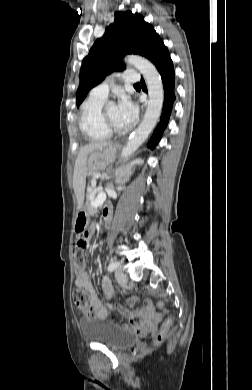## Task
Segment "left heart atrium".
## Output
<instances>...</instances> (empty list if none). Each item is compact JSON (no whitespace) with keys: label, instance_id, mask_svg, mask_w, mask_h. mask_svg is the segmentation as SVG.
I'll use <instances>...</instances> for the list:
<instances>
[{"label":"left heart atrium","instance_id":"left-heart-atrium-1","mask_svg":"<svg viewBox=\"0 0 252 390\" xmlns=\"http://www.w3.org/2000/svg\"><path fill=\"white\" fill-rule=\"evenodd\" d=\"M118 114L125 125L131 124L137 117L136 104L126 95H121L117 104Z\"/></svg>","mask_w":252,"mask_h":390}]
</instances>
